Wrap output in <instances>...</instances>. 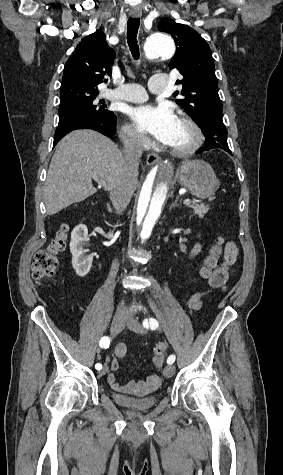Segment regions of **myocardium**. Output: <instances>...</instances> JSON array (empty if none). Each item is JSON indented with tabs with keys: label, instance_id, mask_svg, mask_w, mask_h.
Segmentation results:
<instances>
[{
	"label": "myocardium",
	"instance_id": "1",
	"mask_svg": "<svg viewBox=\"0 0 283 475\" xmlns=\"http://www.w3.org/2000/svg\"><path fill=\"white\" fill-rule=\"evenodd\" d=\"M179 118L188 126L192 132L190 142L180 149H173L166 145L168 152L177 158H186L193 155L202 145L204 133L199 123L185 112L180 111Z\"/></svg>",
	"mask_w": 283,
	"mask_h": 475
}]
</instances>
